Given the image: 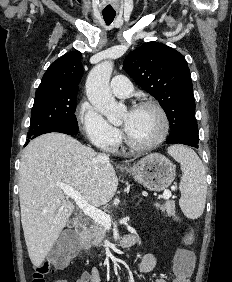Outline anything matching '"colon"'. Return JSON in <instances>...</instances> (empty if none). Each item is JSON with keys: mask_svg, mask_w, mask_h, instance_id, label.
<instances>
[{"mask_svg": "<svg viewBox=\"0 0 232 282\" xmlns=\"http://www.w3.org/2000/svg\"><path fill=\"white\" fill-rule=\"evenodd\" d=\"M191 233H186L184 242H191ZM79 241L70 232L64 233L56 245L51 249L47 258L39 263L32 274L31 282H47L55 268L67 266L69 261L79 251ZM193 266V256L186 248H180L174 259V279L172 282H190L189 277Z\"/></svg>", "mask_w": 232, "mask_h": 282, "instance_id": "obj_1", "label": "colon"}]
</instances>
